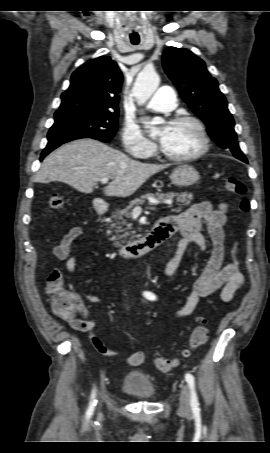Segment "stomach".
<instances>
[{
  "label": "stomach",
  "mask_w": 270,
  "mask_h": 453,
  "mask_svg": "<svg viewBox=\"0 0 270 453\" xmlns=\"http://www.w3.org/2000/svg\"><path fill=\"white\" fill-rule=\"evenodd\" d=\"M200 178L198 171L190 165L176 167L170 176L172 184L178 187H188L195 184Z\"/></svg>",
  "instance_id": "stomach-1"
}]
</instances>
